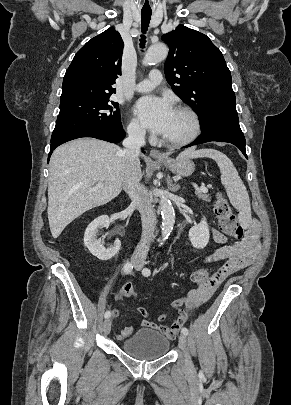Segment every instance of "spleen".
<instances>
[{
    "label": "spleen",
    "mask_w": 291,
    "mask_h": 405,
    "mask_svg": "<svg viewBox=\"0 0 291 405\" xmlns=\"http://www.w3.org/2000/svg\"><path fill=\"white\" fill-rule=\"evenodd\" d=\"M209 157L216 161L221 172V183L226 189L231 204L239 211V219L244 222L251 219V206L247 189L232 161L222 152L214 149H187L177 159Z\"/></svg>",
    "instance_id": "obj_1"
}]
</instances>
